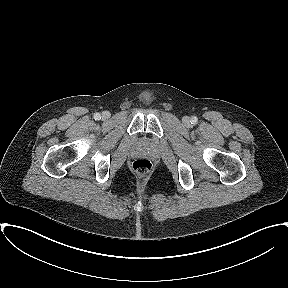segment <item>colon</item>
<instances>
[{"label":"colon","instance_id":"1","mask_svg":"<svg viewBox=\"0 0 288 288\" xmlns=\"http://www.w3.org/2000/svg\"><path fill=\"white\" fill-rule=\"evenodd\" d=\"M132 168L137 174L145 175L151 170L152 164L147 159H137L133 162Z\"/></svg>","mask_w":288,"mask_h":288}]
</instances>
